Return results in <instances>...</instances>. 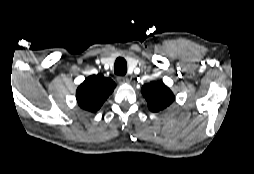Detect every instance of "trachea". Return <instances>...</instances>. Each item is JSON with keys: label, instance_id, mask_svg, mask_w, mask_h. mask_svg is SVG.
Here are the masks:
<instances>
[{"label": "trachea", "instance_id": "obj_1", "mask_svg": "<svg viewBox=\"0 0 254 174\" xmlns=\"http://www.w3.org/2000/svg\"><path fill=\"white\" fill-rule=\"evenodd\" d=\"M116 75H125L127 72V63L123 58H117L114 65Z\"/></svg>", "mask_w": 254, "mask_h": 174}]
</instances>
